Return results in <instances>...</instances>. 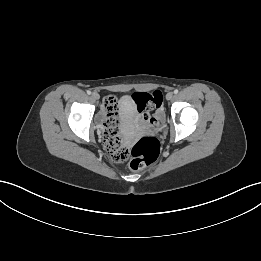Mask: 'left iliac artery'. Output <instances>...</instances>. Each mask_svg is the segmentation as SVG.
Here are the masks:
<instances>
[{"label": "left iliac artery", "mask_w": 261, "mask_h": 261, "mask_svg": "<svg viewBox=\"0 0 261 261\" xmlns=\"http://www.w3.org/2000/svg\"><path fill=\"white\" fill-rule=\"evenodd\" d=\"M178 92H179L178 89L174 90V94H178Z\"/></svg>", "instance_id": "44dca946"}]
</instances>
